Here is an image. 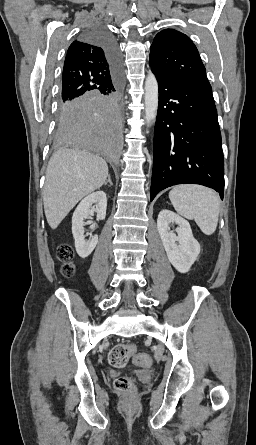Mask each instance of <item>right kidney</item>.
<instances>
[{
	"instance_id": "1",
	"label": "right kidney",
	"mask_w": 256,
	"mask_h": 445,
	"mask_svg": "<svg viewBox=\"0 0 256 445\" xmlns=\"http://www.w3.org/2000/svg\"><path fill=\"white\" fill-rule=\"evenodd\" d=\"M95 204L94 206H92ZM107 208V197L105 192L97 191L86 196L79 203L72 217V234L75 239V248L81 258L88 257L98 243V236L91 235V239L85 240L84 219L97 214L98 220L105 219Z\"/></svg>"
}]
</instances>
